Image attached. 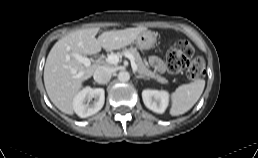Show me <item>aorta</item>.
<instances>
[{
	"label": "aorta",
	"mask_w": 258,
	"mask_h": 158,
	"mask_svg": "<svg viewBox=\"0 0 258 158\" xmlns=\"http://www.w3.org/2000/svg\"><path fill=\"white\" fill-rule=\"evenodd\" d=\"M118 80L121 82H127L130 80V74L127 71H120L118 73Z\"/></svg>",
	"instance_id": "762f6f07"
}]
</instances>
